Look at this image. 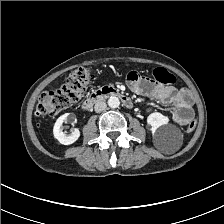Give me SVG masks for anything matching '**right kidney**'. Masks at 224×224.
<instances>
[{
    "label": "right kidney",
    "mask_w": 224,
    "mask_h": 224,
    "mask_svg": "<svg viewBox=\"0 0 224 224\" xmlns=\"http://www.w3.org/2000/svg\"><path fill=\"white\" fill-rule=\"evenodd\" d=\"M71 122L72 124L77 122V119L73 113H65L62 116H60L57 121L55 122L54 128H53V134L54 137L63 145H70L73 144L78 140L80 137V131L78 129H75L72 131L70 135H66L62 131V124L63 122Z\"/></svg>",
    "instance_id": "obj_1"
}]
</instances>
